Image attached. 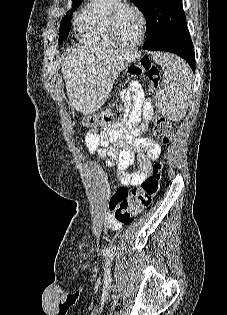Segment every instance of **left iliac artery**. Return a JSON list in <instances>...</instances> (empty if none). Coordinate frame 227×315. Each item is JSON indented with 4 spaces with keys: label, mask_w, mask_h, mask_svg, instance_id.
Listing matches in <instances>:
<instances>
[{
    "label": "left iliac artery",
    "mask_w": 227,
    "mask_h": 315,
    "mask_svg": "<svg viewBox=\"0 0 227 315\" xmlns=\"http://www.w3.org/2000/svg\"><path fill=\"white\" fill-rule=\"evenodd\" d=\"M115 252H116V245H112L109 248L108 257H107V261H106V264H105V274L106 275H110L111 264H112Z\"/></svg>",
    "instance_id": "44dca946"
}]
</instances>
